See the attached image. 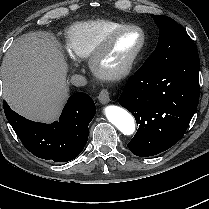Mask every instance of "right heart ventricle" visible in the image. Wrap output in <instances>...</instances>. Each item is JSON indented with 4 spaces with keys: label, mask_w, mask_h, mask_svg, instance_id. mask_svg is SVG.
<instances>
[{
    "label": "right heart ventricle",
    "mask_w": 209,
    "mask_h": 209,
    "mask_svg": "<svg viewBox=\"0 0 209 209\" xmlns=\"http://www.w3.org/2000/svg\"><path fill=\"white\" fill-rule=\"evenodd\" d=\"M131 25L109 19H95L75 23L64 33V42L69 54L76 59L91 57L106 35L114 28Z\"/></svg>",
    "instance_id": "e07e8e85"
}]
</instances>
